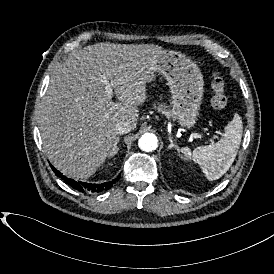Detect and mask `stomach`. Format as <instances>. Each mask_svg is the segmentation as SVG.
I'll return each mask as SVG.
<instances>
[{
    "label": "stomach",
    "mask_w": 274,
    "mask_h": 274,
    "mask_svg": "<svg viewBox=\"0 0 274 274\" xmlns=\"http://www.w3.org/2000/svg\"><path fill=\"white\" fill-rule=\"evenodd\" d=\"M150 67L167 81L177 123L186 129L195 127L204 94V78L198 64L180 52L164 51Z\"/></svg>",
    "instance_id": "0dacf381"
}]
</instances>
